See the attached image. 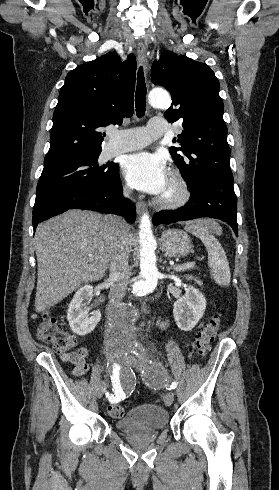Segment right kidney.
<instances>
[{
  "label": "right kidney",
  "mask_w": 279,
  "mask_h": 490,
  "mask_svg": "<svg viewBox=\"0 0 279 490\" xmlns=\"http://www.w3.org/2000/svg\"><path fill=\"white\" fill-rule=\"evenodd\" d=\"M93 296V286H83L77 290L71 300L67 310V320L69 326L77 336H86L96 328L101 320V312L96 310L93 314H88L89 310L85 304V300H90Z\"/></svg>",
  "instance_id": "right-kidney-1"
}]
</instances>
